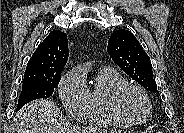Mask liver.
I'll return each instance as SVG.
<instances>
[{
	"label": "liver",
	"mask_w": 184,
	"mask_h": 133,
	"mask_svg": "<svg viewBox=\"0 0 184 133\" xmlns=\"http://www.w3.org/2000/svg\"><path fill=\"white\" fill-rule=\"evenodd\" d=\"M58 109L50 100L39 99L25 105L14 119L16 133H102L96 128L62 127Z\"/></svg>",
	"instance_id": "1"
}]
</instances>
